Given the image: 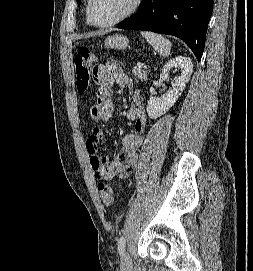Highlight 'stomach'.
<instances>
[{"label":"stomach","mask_w":253,"mask_h":271,"mask_svg":"<svg viewBox=\"0 0 253 271\" xmlns=\"http://www.w3.org/2000/svg\"><path fill=\"white\" fill-rule=\"evenodd\" d=\"M129 45V40L124 35H113L105 39V46L110 49L123 50Z\"/></svg>","instance_id":"0dacf381"}]
</instances>
